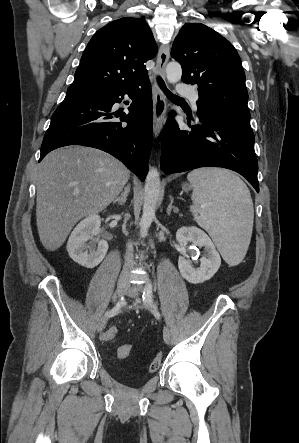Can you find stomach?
<instances>
[{"instance_id": "stomach-1", "label": "stomach", "mask_w": 299, "mask_h": 443, "mask_svg": "<svg viewBox=\"0 0 299 443\" xmlns=\"http://www.w3.org/2000/svg\"><path fill=\"white\" fill-rule=\"evenodd\" d=\"M190 188H191V185H187V184L183 185V190H185V191L190 190Z\"/></svg>"}]
</instances>
